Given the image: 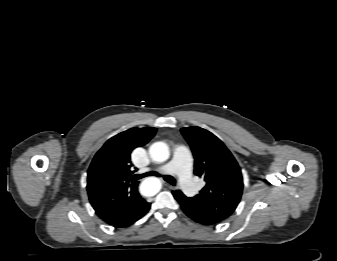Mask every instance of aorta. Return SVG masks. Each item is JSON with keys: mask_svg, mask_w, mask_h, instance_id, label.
Wrapping results in <instances>:
<instances>
[{"mask_svg": "<svg viewBox=\"0 0 337 261\" xmlns=\"http://www.w3.org/2000/svg\"><path fill=\"white\" fill-rule=\"evenodd\" d=\"M149 154L154 162H164L169 158V147L164 142H155L149 148ZM161 188L157 178L150 177L145 179L140 185V192L145 196H154Z\"/></svg>", "mask_w": 337, "mask_h": 261, "instance_id": "1", "label": "aorta"}]
</instances>
